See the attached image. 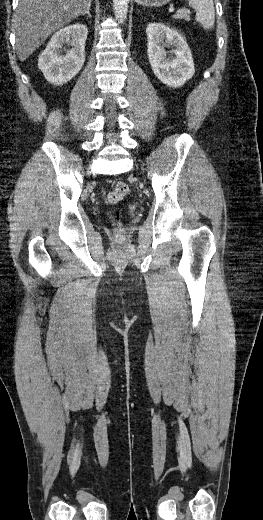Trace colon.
Wrapping results in <instances>:
<instances>
[{"mask_svg":"<svg viewBox=\"0 0 263 520\" xmlns=\"http://www.w3.org/2000/svg\"><path fill=\"white\" fill-rule=\"evenodd\" d=\"M129 193V186L125 182H117L112 190L107 195V200L110 204H117L122 201ZM120 217L117 215V221Z\"/></svg>","mask_w":263,"mask_h":520,"instance_id":"5ec220e1","label":"colon"}]
</instances>
